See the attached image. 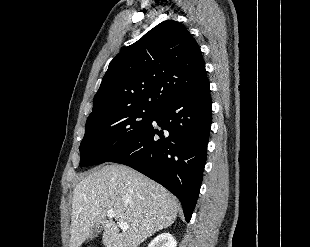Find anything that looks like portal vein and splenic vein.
<instances>
[{"instance_id": "1", "label": "portal vein and splenic vein", "mask_w": 310, "mask_h": 247, "mask_svg": "<svg viewBox=\"0 0 310 247\" xmlns=\"http://www.w3.org/2000/svg\"><path fill=\"white\" fill-rule=\"evenodd\" d=\"M107 217L108 218H114L115 217V212L113 210H108L107 211ZM118 225L121 229L126 230L128 228V225L124 221L118 222Z\"/></svg>"}]
</instances>
